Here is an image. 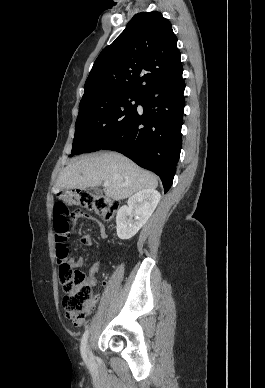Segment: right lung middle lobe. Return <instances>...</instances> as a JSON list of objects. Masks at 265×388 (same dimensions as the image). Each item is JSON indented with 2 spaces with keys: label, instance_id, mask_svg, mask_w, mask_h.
<instances>
[{
  "label": "right lung middle lobe",
  "instance_id": "right-lung-middle-lobe-1",
  "mask_svg": "<svg viewBox=\"0 0 265 388\" xmlns=\"http://www.w3.org/2000/svg\"><path fill=\"white\" fill-rule=\"evenodd\" d=\"M141 95L103 90L82 98L70 156L101 147L137 110Z\"/></svg>",
  "mask_w": 265,
  "mask_h": 388
}]
</instances>
